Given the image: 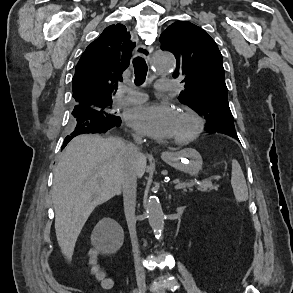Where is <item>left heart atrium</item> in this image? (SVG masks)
Masks as SVG:
<instances>
[{
    "mask_svg": "<svg viewBox=\"0 0 293 293\" xmlns=\"http://www.w3.org/2000/svg\"><path fill=\"white\" fill-rule=\"evenodd\" d=\"M175 115L165 103H148L130 108L125 117L127 123L139 133L161 139L171 137Z\"/></svg>",
    "mask_w": 293,
    "mask_h": 293,
    "instance_id": "39dd6f15",
    "label": "left heart atrium"
}]
</instances>
